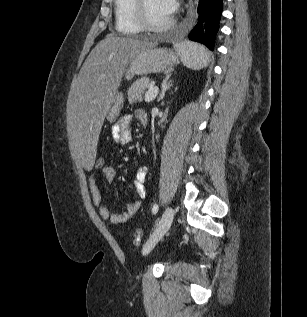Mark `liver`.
<instances>
[{"label": "liver", "mask_w": 307, "mask_h": 317, "mask_svg": "<svg viewBox=\"0 0 307 317\" xmlns=\"http://www.w3.org/2000/svg\"><path fill=\"white\" fill-rule=\"evenodd\" d=\"M156 45L147 39L110 34L96 45L81 67L68 104L67 130L86 175L96 170L94 154L99 133L128 62Z\"/></svg>", "instance_id": "6515ba94"}]
</instances>
